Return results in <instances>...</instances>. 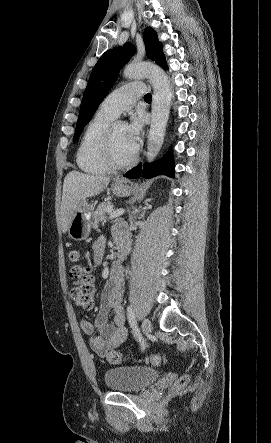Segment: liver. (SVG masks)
Segmentation results:
<instances>
[{
	"mask_svg": "<svg viewBox=\"0 0 271 443\" xmlns=\"http://www.w3.org/2000/svg\"><path fill=\"white\" fill-rule=\"evenodd\" d=\"M109 182L110 178H106V176H91V174H81V172H69L67 174L63 184L61 202L60 222L63 233H66L79 202L83 198L98 196L107 188Z\"/></svg>",
	"mask_w": 271,
	"mask_h": 443,
	"instance_id": "obj_1",
	"label": "liver"
}]
</instances>
